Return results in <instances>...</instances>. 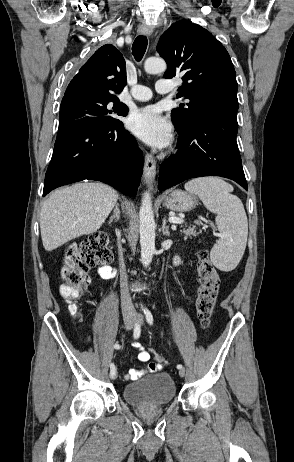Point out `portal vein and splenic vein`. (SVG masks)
Returning a JSON list of instances; mask_svg holds the SVG:
<instances>
[{"instance_id": "obj_1", "label": "portal vein and splenic vein", "mask_w": 294, "mask_h": 462, "mask_svg": "<svg viewBox=\"0 0 294 462\" xmlns=\"http://www.w3.org/2000/svg\"><path fill=\"white\" fill-rule=\"evenodd\" d=\"M169 222L173 224H182L184 220L181 218H177V217H170Z\"/></svg>"}]
</instances>
